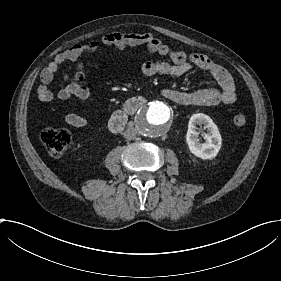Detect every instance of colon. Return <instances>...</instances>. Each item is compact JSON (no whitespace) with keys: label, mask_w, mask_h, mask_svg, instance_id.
Wrapping results in <instances>:
<instances>
[{"label":"colon","mask_w":281,"mask_h":281,"mask_svg":"<svg viewBox=\"0 0 281 281\" xmlns=\"http://www.w3.org/2000/svg\"><path fill=\"white\" fill-rule=\"evenodd\" d=\"M232 123L235 127H244L247 117L244 113H235L232 116ZM41 139L47 148L50 157L57 158L71 143L70 132L65 128L45 129L41 134Z\"/></svg>","instance_id":"colon-1"}]
</instances>
